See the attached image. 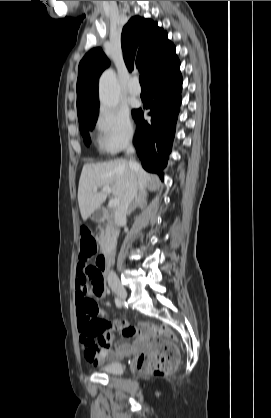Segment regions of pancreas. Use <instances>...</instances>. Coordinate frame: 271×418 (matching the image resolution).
Here are the masks:
<instances>
[{"mask_svg": "<svg viewBox=\"0 0 271 418\" xmlns=\"http://www.w3.org/2000/svg\"><path fill=\"white\" fill-rule=\"evenodd\" d=\"M112 232V227L110 224H107L105 228L101 229L99 243L101 246L104 245L105 241L110 238Z\"/></svg>", "mask_w": 271, "mask_h": 418, "instance_id": "pancreas-1", "label": "pancreas"}]
</instances>
